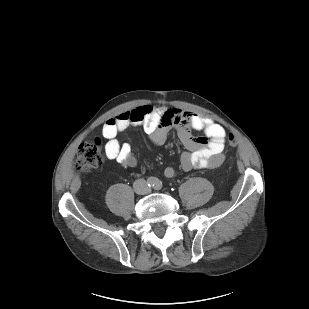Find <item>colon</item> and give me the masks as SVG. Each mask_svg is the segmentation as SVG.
Returning a JSON list of instances; mask_svg holds the SVG:
<instances>
[{
	"mask_svg": "<svg viewBox=\"0 0 309 309\" xmlns=\"http://www.w3.org/2000/svg\"><path fill=\"white\" fill-rule=\"evenodd\" d=\"M229 144L231 146L237 144V138L234 134L229 135ZM103 164L102 141L99 138H95L79 146L74 160L76 171L89 173L101 168Z\"/></svg>",
	"mask_w": 309,
	"mask_h": 309,
	"instance_id": "colon-1",
	"label": "colon"
}]
</instances>
